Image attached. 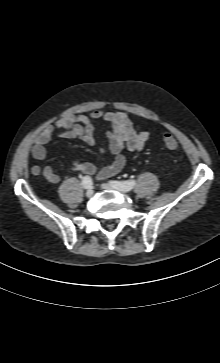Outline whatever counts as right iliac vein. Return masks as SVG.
<instances>
[{"mask_svg":"<svg viewBox=\"0 0 220 363\" xmlns=\"http://www.w3.org/2000/svg\"><path fill=\"white\" fill-rule=\"evenodd\" d=\"M93 194H94V191H93L92 189H89V190L86 192V196H87L88 198H91V197L93 196Z\"/></svg>","mask_w":220,"mask_h":363,"instance_id":"right-iliac-vein-1","label":"right iliac vein"}]
</instances>
